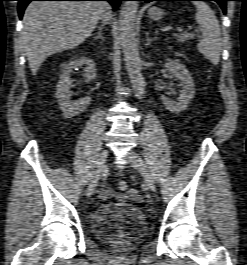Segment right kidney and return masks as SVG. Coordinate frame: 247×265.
I'll use <instances>...</instances> for the list:
<instances>
[{
    "label": "right kidney",
    "mask_w": 247,
    "mask_h": 265,
    "mask_svg": "<svg viewBox=\"0 0 247 265\" xmlns=\"http://www.w3.org/2000/svg\"><path fill=\"white\" fill-rule=\"evenodd\" d=\"M79 67H84V77L89 82L96 75L95 63L87 57H80L63 66L62 74L60 75L57 84L56 98L58 104L66 118H72L83 112L91 102L90 97H85L78 101H71L68 94L71 86L70 73Z\"/></svg>",
    "instance_id": "right-kidney-1"
}]
</instances>
